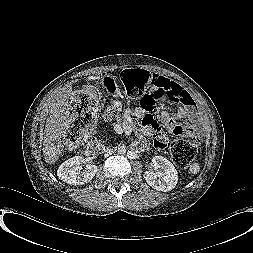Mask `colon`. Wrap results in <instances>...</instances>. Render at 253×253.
Wrapping results in <instances>:
<instances>
[{
	"instance_id": "colon-1",
	"label": "colon",
	"mask_w": 253,
	"mask_h": 253,
	"mask_svg": "<svg viewBox=\"0 0 253 253\" xmlns=\"http://www.w3.org/2000/svg\"><path fill=\"white\" fill-rule=\"evenodd\" d=\"M121 80L127 96L138 100L146 111H151L158 101L186 103L175 82L144 69H126L121 74ZM97 109V99L87 90L82 89L74 94L66 137L69 150L74 151L84 143L89 127L95 123ZM196 140L195 136H191L190 139L178 138L172 142L171 157L178 167L185 168L194 159L197 153Z\"/></svg>"
}]
</instances>
